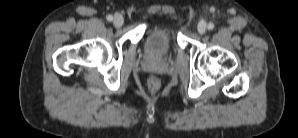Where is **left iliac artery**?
I'll list each match as a JSON object with an SVG mask.
<instances>
[{"instance_id":"1","label":"left iliac artery","mask_w":298,"mask_h":138,"mask_svg":"<svg viewBox=\"0 0 298 138\" xmlns=\"http://www.w3.org/2000/svg\"><path fill=\"white\" fill-rule=\"evenodd\" d=\"M208 30H213L214 29V24L213 23H209L207 26Z\"/></svg>"}]
</instances>
